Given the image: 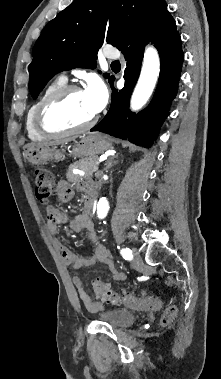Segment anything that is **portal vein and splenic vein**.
<instances>
[{
	"mask_svg": "<svg viewBox=\"0 0 221 379\" xmlns=\"http://www.w3.org/2000/svg\"><path fill=\"white\" fill-rule=\"evenodd\" d=\"M99 162H101V160H100ZM99 162H98V163H99ZM96 169H98V167H96Z\"/></svg>",
	"mask_w": 221,
	"mask_h": 379,
	"instance_id": "18ae733b",
	"label": "portal vein and splenic vein"
}]
</instances>
